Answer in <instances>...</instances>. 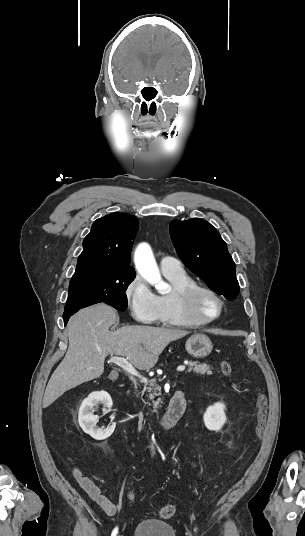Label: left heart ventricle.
<instances>
[{"instance_id":"1","label":"left heart ventricle","mask_w":305,"mask_h":536,"mask_svg":"<svg viewBox=\"0 0 305 536\" xmlns=\"http://www.w3.org/2000/svg\"><path fill=\"white\" fill-rule=\"evenodd\" d=\"M195 306L199 317L202 319H210L217 316L221 309L219 299L207 293L200 295Z\"/></svg>"}]
</instances>
